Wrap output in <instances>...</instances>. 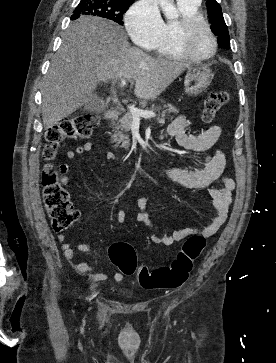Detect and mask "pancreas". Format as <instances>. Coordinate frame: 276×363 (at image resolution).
Listing matches in <instances>:
<instances>
[{
	"label": "pancreas",
	"mask_w": 276,
	"mask_h": 363,
	"mask_svg": "<svg viewBox=\"0 0 276 363\" xmlns=\"http://www.w3.org/2000/svg\"><path fill=\"white\" fill-rule=\"evenodd\" d=\"M166 110L162 111L161 113V117H160V113H159V109L158 108H151V109H147L146 111H150L153 112L155 114V112L158 111L159 115L157 117V121L161 124H163L165 122V116L166 113H174V114H178L179 110L177 108H175L174 106H172L171 104H167L165 105ZM132 123H133V116L130 112H127L124 114V116L122 118H120L116 124H112V128L114 131V135L112 136V142H116L115 147L118 146V144L122 143V147L125 149H129V145H130V139L128 135L123 134V131L125 132H129L132 128Z\"/></svg>",
	"instance_id": "cf45deb5"
}]
</instances>
